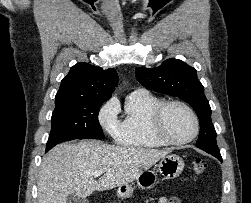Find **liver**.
<instances>
[{
	"label": "liver",
	"mask_w": 251,
	"mask_h": 203,
	"mask_svg": "<svg viewBox=\"0 0 251 203\" xmlns=\"http://www.w3.org/2000/svg\"><path fill=\"white\" fill-rule=\"evenodd\" d=\"M169 153L90 140L57 145L41 163L38 203H66L70 194L86 198L94 191L127 185ZM99 170L105 174L95 180L91 174Z\"/></svg>",
	"instance_id": "1"
}]
</instances>
